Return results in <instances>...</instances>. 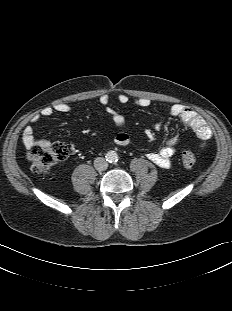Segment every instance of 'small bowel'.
Instances as JSON below:
<instances>
[{"label": "small bowel", "mask_w": 232, "mask_h": 311, "mask_svg": "<svg viewBox=\"0 0 232 311\" xmlns=\"http://www.w3.org/2000/svg\"><path fill=\"white\" fill-rule=\"evenodd\" d=\"M109 96L102 95L99 98V103L102 106H107L109 103ZM117 101L120 104H126L129 102V97L126 94H120L117 96ZM135 104L139 107H147L150 104V100L147 98H139L135 100ZM71 111V106L64 102H57L51 106L44 107L40 114L32 117V122L37 123L40 121L41 117L49 118L55 113H68ZM108 114L112 117L113 122L116 126L121 127L124 124V118L121 114L116 112L113 109H109ZM168 114L172 117L179 118L182 123L191 129L198 140L201 142V145L211 138L212 130L207 122L202 116H200L195 110L185 107L183 105H173L170 107ZM163 126V121H158L154 129L160 131ZM114 142L119 146H128L130 144V138L125 133H117L113 136ZM22 141L26 148L31 149L34 146L38 145H48L50 141L47 139H38L34 135V129L32 126L28 125L24 128L22 132ZM179 142V137L174 136L170 138L164 147H162L157 152H152L147 155V158L161 168H170L171 158L175 153V146Z\"/></svg>", "instance_id": "obj_1"}]
</instances>
